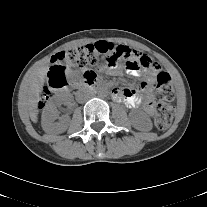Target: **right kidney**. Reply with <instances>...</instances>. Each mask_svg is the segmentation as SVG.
I'll return each instance as SVG.
<instances>
[{
    "mask_svg": "<svg viewBox=\"0 0 207 207\" xmlns=\"http://www.w3.org/2000/svg\"><path fill=\"white\" fill-rule=\"evenodd\" d=\"M68 98L67 95H55L46 104L43 113L41 125L45 132H62L67 129L69 117H59L57 107H59ZM59 122H55L56 119Z\"/></svg>",
    "mask_w": 207,
    "mask_h": 207,
    "instance_id": "right-kidney-1",
    "label": "right kidney"
}]
</instances>
